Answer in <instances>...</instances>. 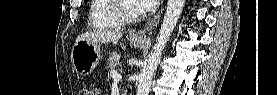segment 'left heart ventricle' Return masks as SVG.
<instances>
[{
  "instance_id": "1",
  "label": "left heart ventricle",
  "mask_w": 277,
  "mask_h": 95,
  "mask_svg": "<svg viewBox=\"0 0 277 95\" xmlns=\"http://www.w3.org/2000/svg\"><path fill=\"white\" fill-rule=\"evenodd\" d=\"M142 11L140 4L135 0H128L123 5V12L129 16H136Z\"/></svg>"
}]
</instances>
